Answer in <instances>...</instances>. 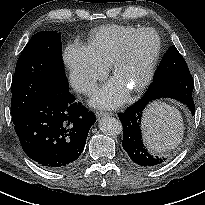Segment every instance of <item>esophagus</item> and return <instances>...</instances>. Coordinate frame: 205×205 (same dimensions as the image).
<instances>
[{
    "label": "esophagus",
    "mask_w": 205,
    "mask_h": 205,
    "mask_svg": "<svg viewBox=\"0 0 205 205\" xmlns=\"http://www.w3.org/2000/svg\"><path fill=\"white\" fill-rule=\"evenodd\" d=\"M97 118L105 117V116H113V113H107V112H102V111H97L95 113Z\"/></svg>",
    "instance_id": "1"
}]
</instances>
